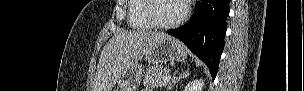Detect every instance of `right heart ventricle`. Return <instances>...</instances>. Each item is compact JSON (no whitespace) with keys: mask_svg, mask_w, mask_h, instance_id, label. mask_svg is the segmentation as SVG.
I'll return each mask as SVG.
<instances>
[{"mask_svg":"<svg viewBox=\"0 0 304 91\" xmlns=\"http://www.w3.org/2000/svg\"><path fill=\"white\" fill-rule=\"evenodd\" d=\"M145 0H129L128 2V24L135 30H150L152 24L144 14Z\"/></svg>","mask_w":304,"mask_h":91,"instance_id":"e07e8e85","label":"right heart ventricle"}]
</instances>
